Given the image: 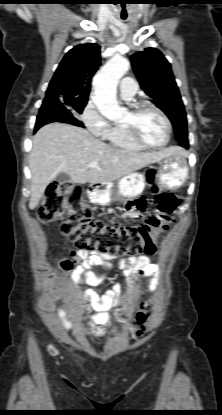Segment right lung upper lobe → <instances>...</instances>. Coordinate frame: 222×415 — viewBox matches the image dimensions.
I'll return each mask as SVG.
<instances>
[{
	"mask_svg": "<svg viewBox=\"0 0 222 415\" xmlns=\"http://www.w3.org/2000/svg\"><path fill=\"white\" fill-rule=\"evenodd\" d=\"M99 66V45L87 43L75 46L59 64L44 101H52L60 97L87 100L92 77Z\"/></svg>",
	"mask_w": 222,
	"mask_h": 415,
	"instance_id": "1",
	"label": "right lung upper lobe"
}]
</instances>
